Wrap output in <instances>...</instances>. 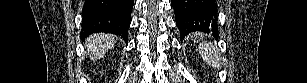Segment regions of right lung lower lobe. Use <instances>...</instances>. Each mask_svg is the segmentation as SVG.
<instances>
[{
	"mask_svg": "<svg viewBox=\"0 0 307 83\" xmlns=\"http://www.w3.org/2000/svg\"><path fill=\"white\" fill-rule=\"evenodd\" d=\"M134 0H85L80 36L104 32L128 38Z\"/></svg>",
	"mask_w": 307,
	"mask_h": 83,
	"instance_id": "right-lung-lower-lobe-1",
	"label": "right lung lower lobe"
}]
</instances>
